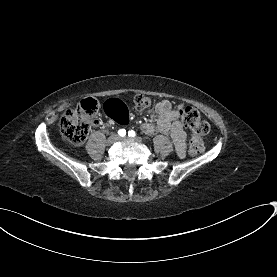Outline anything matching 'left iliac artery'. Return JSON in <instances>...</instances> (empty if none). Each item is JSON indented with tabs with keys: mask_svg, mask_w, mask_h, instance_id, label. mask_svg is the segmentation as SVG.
Segmentation results:
<instances>
[{
	"mask_svg": "<svg viewBox=\"0 0 277 277\" xmlns=\"http://www.w3.org/2000/svg\"><path fill=\"white\" fill-rule=\"evenodd\" d=\"M128 136H129V137H135V136H136V132H135L134 130H130V131L128 132Z\"/></svg>",
	"mask_w": 277,
	"mask_h": 277,
	"instance_id": "1",
	"label": "left iliac artery"
}]
</instances>
